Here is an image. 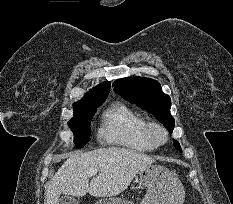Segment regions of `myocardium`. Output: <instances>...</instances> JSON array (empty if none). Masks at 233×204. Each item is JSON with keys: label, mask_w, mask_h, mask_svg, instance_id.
I'll return each instance as SVG.
<instances>
[{"label": "myocardium", "mask_w": 233, "mask_h": 204, "mask_svg": "<svg viewBox=\"0 0 233 204\" xmlns=\"http://www.w3.org/2000/svg\"><path fill=\"white\" fill-rule=\"evenodd\" d=\"M146 138L155 146H161L167 142L168 133L166 128L156 121H147L144 127Z\"/></svg>", "instance_id": "1"}]
</instances>
